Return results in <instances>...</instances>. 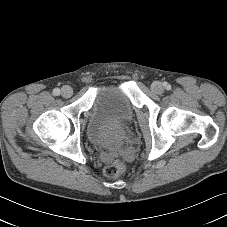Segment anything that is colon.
<instances>
[{"label":"colon","instance_id":"obj_1","mask_svg":"<svg viewBox=\"0 0 227 227\" xmlns=\"http://www.w3.org/2000/svg\"><path fill=\"white\" fill-rule=\"evenodd\" d=\"M124 171H125L124 163L121 160L116 159L104 168V175L107 178H115L123 174Z\"/></svg>","mask_w":227,"mask_h":227}]
</instances>
